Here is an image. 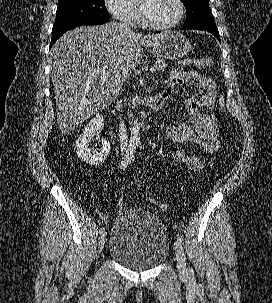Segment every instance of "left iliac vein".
I'll return each mask as SVG.
<instances>
[{
	"instance_id": "left-iliac-vein-1",
	"label": "left iliac vein",
	"mask_w": 272,
	"mask_h": 303,
	"mask_svg": "<svg viewBox=\"0 0 272 303\" xmlns=\"http://www.w3.org/2000/svg\"><path fill=\"white\" fill-rule=\"evenodd\" d=\"M174 250H175V257L177 261L178 271L180 275L184 276L187 274L186 256L184 253V249L179 241H175Z\"/></svg>"
}]
</instances>
